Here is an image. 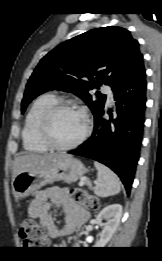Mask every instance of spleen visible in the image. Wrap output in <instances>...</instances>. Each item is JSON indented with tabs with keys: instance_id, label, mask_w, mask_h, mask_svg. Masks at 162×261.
Instances as JSON below:
<instances>
[{
	"instance_id": "obj_1",
	"label": "spleen",
	"mask_w": 162,
	"mask_h": 261,
	"mask_svg": "<svg viewBox=\"0 0 162 261\" xmlns=\"http://www.w3.org/2000/svg\"><path fill=\"white\" fill-rule=\"evenodd\" d=\"M94 166L98 171L94 193L99 197H109L118 194L121 190V182L118 176L99 162H94Z\"/></svg>"
}]
</instances>
